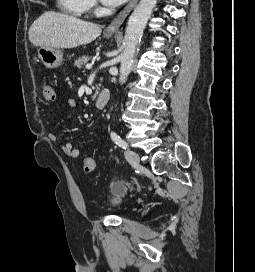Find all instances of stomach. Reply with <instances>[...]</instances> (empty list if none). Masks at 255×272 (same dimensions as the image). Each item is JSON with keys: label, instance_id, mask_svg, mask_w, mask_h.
<instances>
[{"label": "stomach", "instance_id": "stomach-1", "mask_svg": "<svg viewBox=\"0 0 255 272\" xmlns=\"http://www.w3.org/2000/svg\"><path fill=\"white\" fill-rule=\"evenodd\" d=\"M112 34L105 33L104 37L109 38ZM38 58L48 69H54L62 64L63 53L59 48L40 47L38 49Z\"/></svg>", "mask_w": 255, "mask_h": 272}]
</instances>
